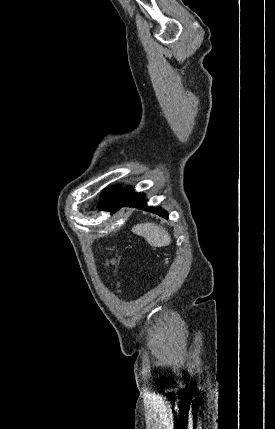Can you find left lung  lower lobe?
<instances>
[{
    "label": "left lung lower lobe",
    "instance_id": "left-lung-lower-lobe-1",
    "mask_svg": "<svg viewBox=\"0 0 275 429\" xmlns=\"http://www.w3.org/2000/svg\"><path fill=\"white\" fill-rule=\"evenodd\" d=\"M125 206L143 209L146 211L153 212L154 214H157L161 217L168 218V214L164 210H161L159 207L158 208L148 207L145 201L144 194L135 192L133 188H131L128 191L125 200L123 201V203L120 205L118 209Z\"/></svg>",
    "mask_w": 275,
    "mask_h": 429
}]
</instances>
